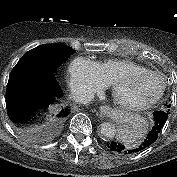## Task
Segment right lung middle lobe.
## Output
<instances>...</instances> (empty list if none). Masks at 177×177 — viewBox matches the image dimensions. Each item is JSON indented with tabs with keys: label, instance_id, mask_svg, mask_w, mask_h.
<instances>
[{
	"label": "right lung middle lobe",
	"instance_id": "right-lung-middle-lobe-1",
	"mask_svg": "<svg viewBox=\"0 0 177 177\" xmlns=\"http://www.w3.org/2000/svg\"><path fill=\"white\" fill-rule=\"evenodd\" d=\"M74 52L75 50L62 44H43L28 51L25 55H23L19 62H22L25 59H32L56 70L61 63ZM63 122L64 119L58 121V127H60Z\"/></svg>",
	"mask_w": 177,
	"mask_h": 177
}]
</instances>
